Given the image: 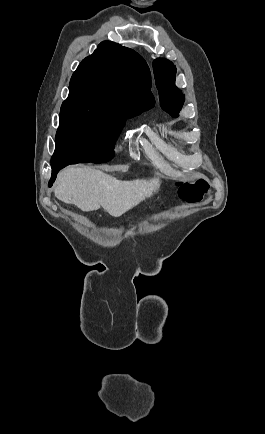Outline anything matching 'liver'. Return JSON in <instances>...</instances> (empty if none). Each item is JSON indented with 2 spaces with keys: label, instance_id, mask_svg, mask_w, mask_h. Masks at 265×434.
Instances as JSON below:
<instances>
[{
  "label": "liver",
  "instance_id": "1",
  "mask_svg": "<svg viewBox=\"0 0 265 434\" xmlns=\"http://www.w3.org/2000/svg\"><path fill=\"white\" fill-rule=\"evenodd\" d=\"M160 188L159 178L121 182L101 170L69 166L57 176L55 198L65 204H75L82 212L99 210L119 218L145 198H151Z\"/></svg>",
  "mask_w": 265,
  "mask_h": 434
}]
</instances>
